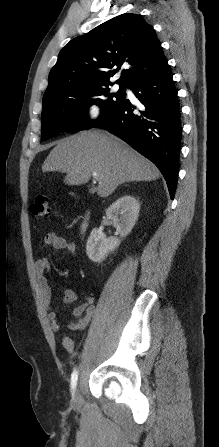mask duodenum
I'll list each match as a JSON object with an SVG mask.
<instances>
[{
    "instance_id": "410a0bca",
    "label": "duodenum",
    "mask_w": 219,
    "mask_h": 447,
    "mask_svg": "<svg viewBox=\"0 0 219 447\" xmlns=\"http://www.w3.org/2000/svg\"><path fill=\"white\" fill-rule=\"evenodd\" d=\"M88 223H89V217H85L84 220L81 223L80 229L81 231H85L88 227Z\"/></svg>"
}]
</instances>
